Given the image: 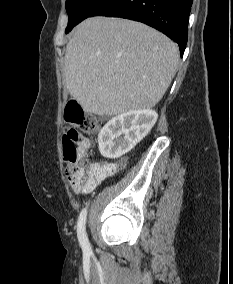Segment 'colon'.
Segmentation results:
<instances>
[{
	"label": "colon",
	"instance_id": "1",
	"mask_svg": "<svg viewBox=\"0 0 233 284\" xmlns=\"http://www.w3.org/2000/svg\"><path fill=\"white\" fill-rule=\"evenodd\" d=\"M65 118L75 126L63 136L67 179L75 192H88L92 190V182L86 170L80 164V158L89 147V140L83 133L93 134L97 132L99 122L77 100H71L67 103Z\"/></svg>",
	"mask_w": 233,
	"mask_h": 284
}]
</instances>
